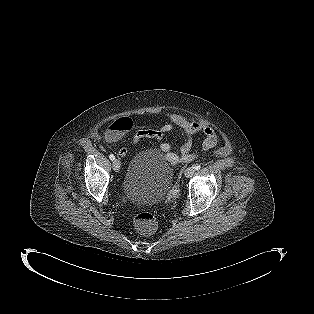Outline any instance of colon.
Masks as SVG:
<instances>
[{
	"instance_id": "5ec220e1",
	"label": "colon",
	"mask_w": 314,
	"mask_h": 314,
	"mask_svg": "<svg viewBox=\"0 0 314 314\" xmlns=\"http://www.w3.org/2000/svg\"><path fill=\"white\" fill-rule=\"evenodd\" d=\"M132 126V122L128 118H121L113 122L107 131V137L109 139H116L128 131ZM134 226L136 230L144 235L150 236L156 230L155 217L150 212H140L134 217Z\"/></svg>"
}]
</instances>
